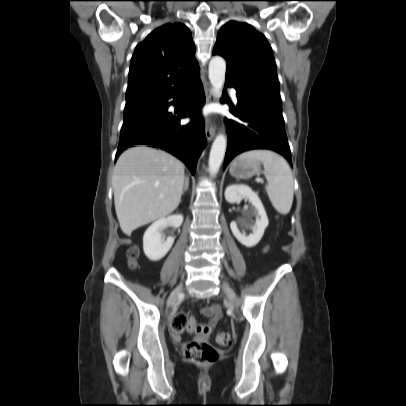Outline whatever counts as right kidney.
<instances>
[{
    "mask_svg": "<svg viewBox=\"0 0 406 406\" xmlns=\"http://www.w3.org/2000/svg\"><path fill=\"white\" fill-rule=\"evenodd\" d=\"M183 223L182 215H171L167 218H162L155 221L145 232L143 236V249L145 255L151 261L162 259L171 249L174 243V237H167L164 241L162 238V230L167 226H173L174 229L179 228Z\"/></svg>",
    "mask_w": 406,
    "mask_h": 406,
    "instance_id": "1",
    "label": "right kidney"
}]
</instances>
